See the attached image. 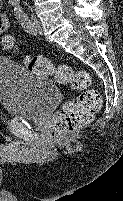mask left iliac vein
<instances>
[{
    "label": "left iliac vein",
    "mask_w": 123,
    "mask_h": 201,
    "mask_svg": "<svg viewBox=\"0 0 123 201\" xmlns=\"http://www.w3.org/2000/svg\"><path fill=\"white\" fill-rule=\"evenodd\" d=\"M31 23L34 29L33 34H41L42 33V27L40 25V22L38 21V19L34 16H32L31 18Z\"/></svg>",
    "instance_id": "4c4485c4"
}]
</instances>
